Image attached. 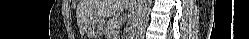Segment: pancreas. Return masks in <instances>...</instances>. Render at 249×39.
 I'll return each instance as SVG.
<instances>
[{
    "mask_svg": "<svg viewBox=\"0 0 249 39\" xmlns=\"http://www.w3.org/2000/svg\"><path fill=\"white\" fill-rule=\"evenodd\" d=\"M119 26H120L119 19H117V18L110 19L104 27V34L108 37L118 36Z\"/></svg>",
    "mask_w": 249,
    "mask_h": 39,
    "instance_id": "pancreas-1",
    "label": "pancreas"
}]
</instances>
